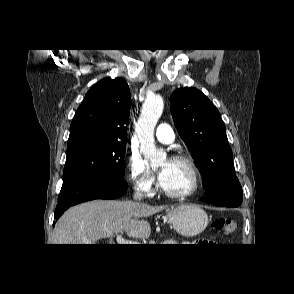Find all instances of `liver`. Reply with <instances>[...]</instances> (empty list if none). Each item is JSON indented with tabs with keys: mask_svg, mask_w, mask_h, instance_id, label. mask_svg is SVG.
<instances>
[{
	"mask_svg": "<svg viewBox=\"0 0 294 294\" xmlns=\"http://www.w3.org/2000/svg\"><path fill=\"white\" fill-rule=\"evenodd\" d=\"M135 201L94 200L68 209L57 221L54 244H94L125 231L129 237L147 238L150 224L142 217L162 211Z\"/></svg>",
	"mask_w": 294,
	"mask_h": 294,
	"instance_id": "1",
	"label": "liver"
}]
</instances>
